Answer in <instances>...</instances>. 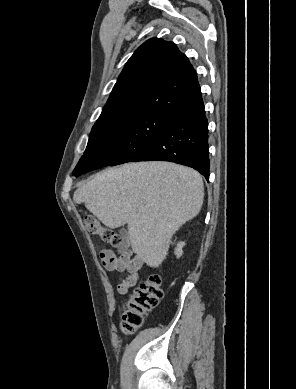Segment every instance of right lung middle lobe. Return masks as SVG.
I'll list each match as a JSON object with an SVG mask.
<instances>
[{
    "instance_id": "right-lung-middle-lobe-1",
    "label": "right lung middle lobe",
    "mask_w": 296,
    "mask_h": 389,
    "mask_svg": "<svg viewBox=\"0 0 296 389\" xmlns=\"http://www.w3.org/2000/svg\"><path fill=\"white\" fill-rule=\"evenodd\" d=\"M173 121L174 118L157 113L99 118L76 167L98 169L139 161L147 148Z\"/></svg>"
}]
</instances>
